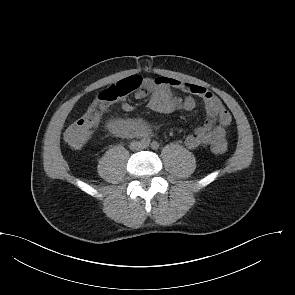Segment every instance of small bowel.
Segmentation results:
<instances>
[{"instance_id": "obj_1", "label": "small bowel", "mask_w": 295, "mask_h": 295, "mask_svg": "<svg viewBox=\"0 0 295 295\" xmlns=\"http://www.w3.org/2000/svg\"><path fill=\"white\" fill-rule=\"evenodd\" d=\"M173 90L182 91L187 96L181 99ZM146 96H149V109L165 115L179 110H193L200 99L204 104L207 118L202 125L186 136V146L195 149L226 142L227 128L232 121L231 114L219 97L207 88L177 78L158 76L143 79L141 88L135 93L136 99ZM121 107L126 112L133 110L129 102H123ZM111 129L123 137L141 136L148 132L147 125L140 119L115 120L111 123Z\"/></svg>"}]
</instances>
